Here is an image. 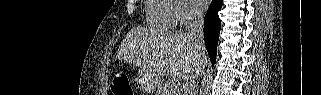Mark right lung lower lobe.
<instances>
[{
  "label": "right lung lower lobe",
  "mask_w": 321,
  "mask_h": 95,
  "mask_svg": "<svg viewBox=\"0 0 321 95\" xmlns=\"http://www.w3.org/2000/svg\"><path fill=\"white\" fill-rule=\"evenodd\" d=\"M223 0H212L211 6L205 15L204 20V40L210 60L215 63L216 49L219 39L221 22L218 11L222 7Z\"/></svg>",
  "instance_id": "1"
}]
</instances>
